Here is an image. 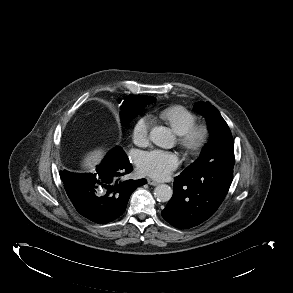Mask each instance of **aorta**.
<instances>
[{
  "mask_svg": "<svg viewBox=\"0 0 293 293\" xmlns=\"http://www.w3.org/2000/svg\"><path fill=\"white\" fill-rule=\"evenodd\" d=\"M150 140L157 146L165 149L174 146V136L170 129L164 126H156L152 128L149 134ZM173 190L166 184L158 185L154 189V197L159 202H167L171 199Z\"/></svg>",
  "mask_w": 293,
  "mask_h": 293,
  "instance_id": "obj_1",
  "label": "aorta"
}]
</instances>
